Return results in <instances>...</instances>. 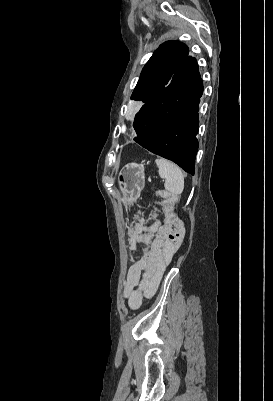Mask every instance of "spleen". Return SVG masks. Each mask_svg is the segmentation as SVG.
<instances>
[{"label":"spleen","mask_w":273,"mask_h":401,"mask_svg":"<svg viewBox=\"0 0 273 401\" xmlns=\"http://www.w3.org/2000/svg\"><path fill=\"white\" fill-rule=\"evenodd\" d=\"M155 162L159 168L158 172L161 178H165L164 186L166 190L179 196L184 188V176L181 168L171 160H166V158H156Z\"/></svg>","instance_id":"obj_1"}]
</instances>
